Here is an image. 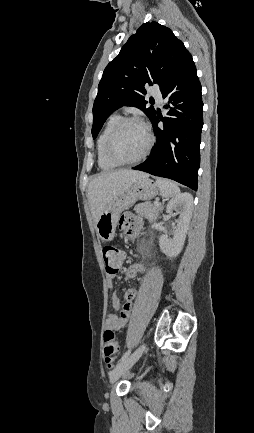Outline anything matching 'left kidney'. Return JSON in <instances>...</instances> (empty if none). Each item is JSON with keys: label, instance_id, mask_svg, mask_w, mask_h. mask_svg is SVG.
I'll return each mask as SVG.
<instances>
[{"label": "left kidney", "instance_id": "5707ae66", "mask_svg": "<svg viewBox=\"0 0 254 433\" xmlns=\"http://www.w3.org/2000/svg\"><path fill=\"white\" fill-rule=\"evenodd\" d=\"M192 208L193 196L188 192L180 193L169 201L166 212L172 215L173 211H178L180 216L173 239H169L166 234L160 236L159 245L165 255L176 257L182 251L192 216Z\"/></svg>", "mask_w": 254, "mask_h": 433}]
</instances>
